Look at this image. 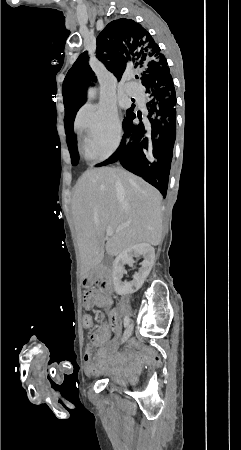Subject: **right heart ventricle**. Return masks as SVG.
<instances>
[{
	"instance_id": "obj_1",
	"label": "right heart ventricle",
	"mask_w": 241,
	"mask_h": 450,
	"mask_svg": "<svg viewBox=\"0 0 241 450\" xmlns=\"http://www.w3.org/2000/svg\"><path fill=\"white\" fill-rule=\"evenodd\" d=\"M82 116H86V114L82 115ZM81 118V117H80ZM86 130H78V139H79V145L80 148L82 150V152L84 153V143H85V139H87L86 137ZM85 155V154H84ZM85 157L90 160V161H97L98 159H96L94 157V155H85Z\"/></svg>"
}]
</instances>
